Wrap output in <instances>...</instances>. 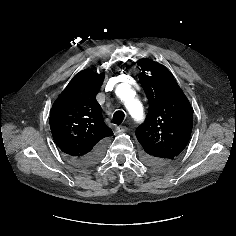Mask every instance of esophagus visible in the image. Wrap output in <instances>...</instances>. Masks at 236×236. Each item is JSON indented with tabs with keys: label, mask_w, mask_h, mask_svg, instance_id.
<instances>
[{
	"label": "esophagus",
	"mask_w": 236,
	"mask_h": 236,
	"mask_svg": "<svg viewBox=\"0 0 236 236\" xmlns=\"http://www.w3.org/2000/svg\"><path fill=\"white\" fill-rule=\"evenodd\" d=\"M126 131H127V127H125V126H117L116 127V132L117 133H124Z\"/></svg>",
	"instance_id": "obj_1"
}]
</instances>
